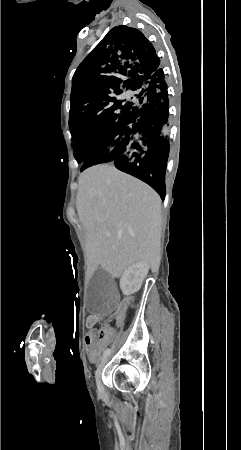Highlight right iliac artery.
Wrapping results in <instances>:
<instances>
[{
	"mask_svg": "<svg viewBox=\"0 0 241 450\" xmlns=\"http://www.w3.org/2000/svg\"><path fill=\"white\" fill-rule=\"evenodd\" d=\"M110 354V349H106L103 353V358H106Z\"/></svg>",
	"mask_w": 241,
	"mask_h": 450,
	"instance_id": "right-iliac-artery-1",
	"label": "right iliac artery"
}]
</instances>
